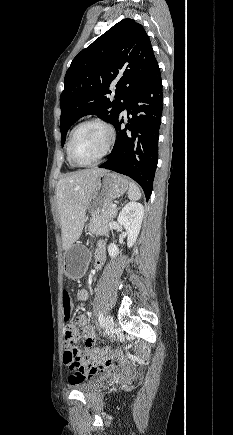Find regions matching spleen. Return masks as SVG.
<instances>
[{
    "instance_id": "obj_1",
    "label": "spleen",
    "mask_w": 233,
    "mask_h": 435,
    "mask_svg": "<svg viewBox=\"0 0 233 435\" xmlns=\"http://www.w3.org/2000/svg\"><path fill=\"white\" fill-rule=\"evenodd\" d=\"M128 198L130 200H138L141 198V191L134 182H129Z\"/></svg>"
}]
</instances>
